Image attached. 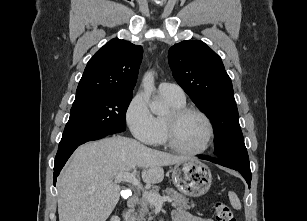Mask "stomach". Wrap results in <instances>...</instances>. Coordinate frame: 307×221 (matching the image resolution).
<instances>
[{
	"mask_svg": "<svg viewBox=\"0 0 307 221\" xmlns=\"http://www.w3.org/2000/svg\"><path fill=\"white\" fill-rule=\"evenodd\" d=\"M174 185L184 195L199 197L204 195L212 183L209 167L195 159L175 164L172 170Z\"/></svg>",
	"mask_w": 307,
	"mask_h": 221,
	"instance_id": "stomach-1",
	"label": "stomach"
}]
</instances>
